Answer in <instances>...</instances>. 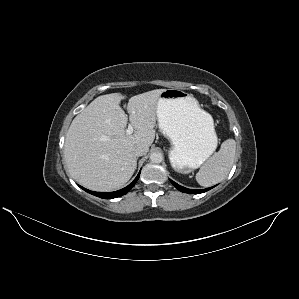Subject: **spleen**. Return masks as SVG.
<instances>
[{
  "label": "spleen",
  "mask_w": 299,
  "mask_h": 299,
  "mask_svg": "<svg viewBox=\"0 0 299 299\" xmlns=\"http://www.w3.org/2000/svg\"><path fill=\"white\" fill-rule=\"evenodd\" d=\"M235 153V140H225L220 150L200 168L196 174V181L203 187H210L224 180L234 164Z\"/></svg>",
  "instance_id": "obj_1"
}]
</instances>
